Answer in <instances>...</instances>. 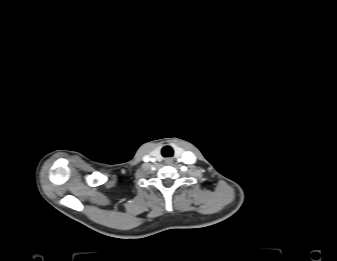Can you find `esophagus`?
<instances>
[{
  "label": "esophagus",
  "mask_w": 337,
  "mask_h": 261,
  "mask_svg": "<svg viewBox=\"0 0 337 261\" xmlns=\"http://www.w3.org/2000/svg\"><path fill=\"white\" fill-rule=\"evenodd\" d=\"M165 163L168 164V165H170V164L173 163V159L172 158H166L165 159Z\"/></svg>",
  "instance_id": "1"
}]
</instances>
